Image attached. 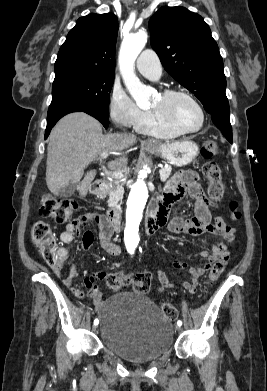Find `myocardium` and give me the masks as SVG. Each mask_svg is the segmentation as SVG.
<instances>
[{"instance_id": "myocardium-1", "label": "myocardium", "mask_w": 267, "mask_h": 391, "mask_svg": "<svg viewBox=\"0 0 267 391\" xmlns=\"http://www.w3.org/2000/svg\"><path fill=\"white\" fill-rule=\"evenodd\" d=\"M160 95H161V97L164 100H167V99H169V98H171L172 96H175V95H181V96L186 97L198 109V111L200 113V119L201 120H200V124H199V126L197 128H195V129H184V128H181L180 126H178L177 124H175L172 120H170L160 109L153 108L152 112H153V114H154V116H155V118L157 119L158 122H160L161 124L169 127L170 129H172V130H174L176 132H179L180 134L196 133V132H199L200 130L203 129V127L205 126V122H206L205 111H204L201 103L191 93H189L188 91H185L183 89L172 88V89L163 90L160 93Z\"/></svg>"}]
</instances>
